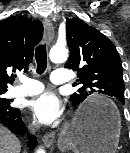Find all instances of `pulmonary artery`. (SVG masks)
Segmentation results:
<instances>
[{
    "mask_svg": "<svg viewBox=\"0 0 130 153\" xmlns=\"http://www.w3.org/2000/svg\"><path fill=\"white\" fill-rule=\"evenodd\" d=\"M50 79L54 84H65L70 80V76L65 70H55L52 72ZM20 81L22 85L9 89L7 97L33 96L44 90V85L37 80L21 77Z\"/></svg>",
    "mask_w": 130,
    "mask_h": 153,
    "instance_id": "obj_1",
    "label": "pulmonary artery"
}]
</instances>
